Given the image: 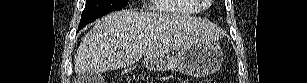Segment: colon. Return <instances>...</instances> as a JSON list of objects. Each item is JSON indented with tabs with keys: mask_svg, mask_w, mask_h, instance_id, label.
<instances>
[{
	"mask_svg": "<svg viewBox=\"0 0 307 83\" xmlns=\"http://www.w3.org/2000/svg\"><path fill=\"white\" fill-rule=\"evenodd\" d=\"M202 83H215V80L212 78H206L202 81Z\"/></svg>",
	"mask_w": 307,
	"mask_h": 83,
	"instance_id": "1",
	"label": "colon"
}]
</instances>
